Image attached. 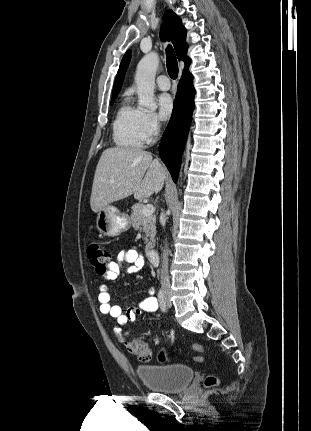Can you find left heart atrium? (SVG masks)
Returning <instances> with one entry per match:
<instances>
[{
    "mask_svg": "<svg viewBox=\"0 0 311 431\" xmlns=\"http://www.w3.org/2000/svg\"><path fill=\"white\" fill-rule=\"evenodd\" d=\"M159 113L162 119L168 120L174 113L175 104L170 94H162L158 99Z\"/></svg>",
    "mask_w": 311,
    "mask_h": 431,
    "instance_id": "1",
    "label": "left heart atrium"
}]
</instances>
